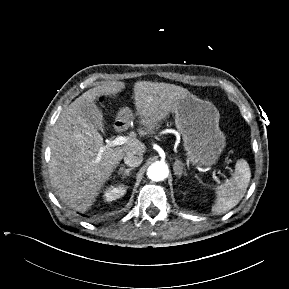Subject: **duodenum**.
<instances>
[{"label":"duodenum","instance_id":"duodenum-1","mask_svg":"<svg viewBox=\"0 0 289 289\" xmlns=\"http://www.w3.org/2000/svg\"><path fill=\"white\" fill-rule=\"evenodd\" d=\"M127 122L124 121V120H118L116 123H115V129L116 131L118 132H121V131H124L126 128H127Z\"/></svg>","mask_w":289,"mask_h":289}]
</instances>
